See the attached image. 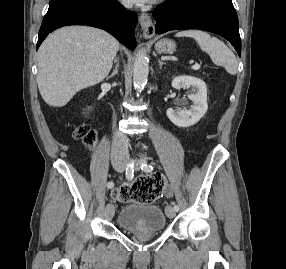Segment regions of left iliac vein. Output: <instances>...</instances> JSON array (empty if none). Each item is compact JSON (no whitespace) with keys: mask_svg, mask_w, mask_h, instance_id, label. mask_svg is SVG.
<instances>
[{"mask_svg":"<svg viewBox=\"0 0 286 269\" xmlns=\"http://www.w3.org/2000/svg\"><path fill=\"white\" fill-rule=\"evenodd\" d=\"M141 161L144 162L145 160L142 159V160L138 161L137 164H136V169H139V162H141ZM165 212H166V215H167L168 218H173L176 215V212H175V210H174V208L172 206H167L166 209H165Z\"/></svg>","mask_w":286,"mask_h":269,"instance_id":"1","label":"left iliac vein"}]
</instances>
